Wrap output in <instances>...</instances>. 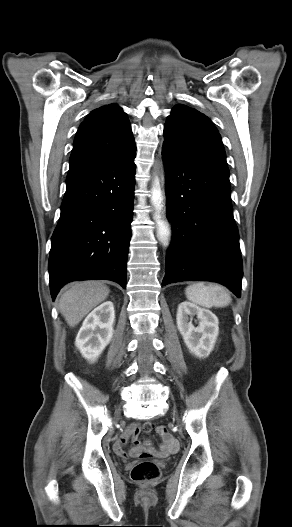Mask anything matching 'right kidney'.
Returning <instances> with one entry per match:
<instances>
[{"label": "right kidney", "mask_w": 292, "mask_h": 527, "mask_svg": "<svg viewBox=\"0 0 292 527\" xmlns=\"http://www.w3.org/2000/svg\"><path fill=\"white\" fill-rule=\"evenodd\" d=\"M114 321L115 311L111 301L102 303L86 317L75 341L85 359L96 361L110 343Z\"/></svg>", "instance_id": "right-kidney-1"}]
</instances>
